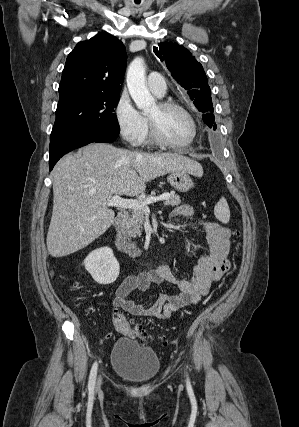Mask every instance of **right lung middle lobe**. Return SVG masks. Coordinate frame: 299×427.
Returning a JSON list of instances; mask_svg holds the SVG:
<instances>
[{"mask_svg":"<svg viewBox=\"0 0 299 427\" xmlns=\"http://www.w3.org/2000/svg\"><path fill=\"white\" fill-rule=\"evenodd\" d=\"M119 99V93L101 92L78 93L60 99L50 139L79 130L119 133L114 113Z\"/></svg>","mask_w":299,"mask_h":427,"instance_id":"obj_1","label":"right lung middle lobe"}]
</instances>
